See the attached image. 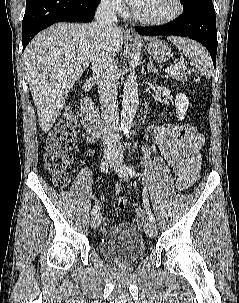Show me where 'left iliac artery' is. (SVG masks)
I'll use <instances>...</instances> for the list:
<instances>
[{
    "mask_svg": "<svg viewBox=\"0 0 239 303\" xmlns=\"http://www.w3.org/2000/svg\"><path fill=\"white\" fill-rule=\"evenodd\" d=\"M129 169H130L131 175L138 177L139 180H140L141 175L139 173H137L135 170H132L131 168H129ZM143 202H144V208L147 212L149 220L155 222V217H154L152 211L150 210V205H149V200H148V196H147V188L146 187L143 188Z\"/></svg>",
    "mask_w": 239,
    "mask_h": 303,
    "instance_id": "44dca946",
    "label": "left iliac artery"
}]
</instances>
